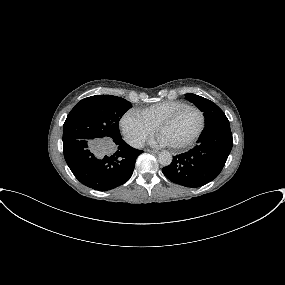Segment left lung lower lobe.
<instances>
[{
    "instance_id": "0a47b994",
    "label": "left lung lower lobe",
    "mask_w": 285,
    "mask_h": 285,
    "mask_svg": "<svg viewBox=\"0 0 285 285\" xmlns=\"http://www.w3.org/2000/svg\"><path fill=\"white\" fill-rule=\"evenodd\" d=\"M232 145L229 121L210 122L205 125L198 145L173 157L172 163L162 168V172L173 183L191 188L203 186L220 174Z\"/></svg>"
}]
</instances>
